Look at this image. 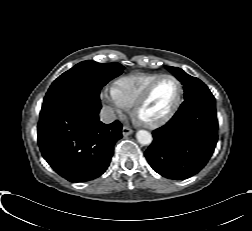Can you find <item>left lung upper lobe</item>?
I'll use <instances>...</instances> for the list:
<instances>
[{
  "label": "left lung upper lobe",
  "instance_id": "left-lung-upper-lobe-1",
  "mask_svg": "<svg viewBox=\"0 0 252 231\" xmlns=\"http://www.w3.org/2000/svg\"><path fill=\"white\" fill-rule=\"evenodd\" d=\"M175 76L184 85V98L188 99L194 96L211 95L208 87L198 78L192 77L177 67H170Z\"/></svg>",
  "mask_w": 252,
  "mask_h": 231
}]
</instances>
